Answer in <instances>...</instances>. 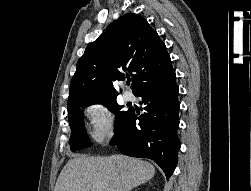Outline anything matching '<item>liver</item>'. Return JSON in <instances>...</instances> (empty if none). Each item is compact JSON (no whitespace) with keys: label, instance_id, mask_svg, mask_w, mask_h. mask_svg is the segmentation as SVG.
I'll use <instances>...</instances> for the list:
<instances>
[{"label":"liver","instance_id":"obj_1","mask_svg":"<svg viewBox=\"0 0 251 191\" xmlns=\"http://www.w3.org/2000/svg\"><path fill=\"white\" fill-rule=\"evenodd\" d=\"M155 167L149 161H142L128 155L109 157H86L71 155L64 165L54 191H130L132 187L152 179Z\"/></svg>","mask_w":251,"mask_h":191}]
</instances>
